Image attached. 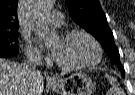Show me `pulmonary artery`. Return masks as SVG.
Here are the masks:
<instances>
[{"mask_svg":"<svg viewBox=\"0 0 135 95\" xmlns=\"http://www.w3.org/2000/svg\"><path fill=\"white\" fill-rule=\"evenodd\" d=\"M47 20L53 26H61L63 24L64 16L61 12L52 10L48 15Z\"/></svg>","mask_w":135,"mask_h":95,"instance_id":"obj_1","label":"pulmonary artery"}]
</instances>
